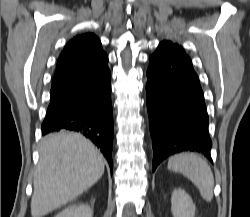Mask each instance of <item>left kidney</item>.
<instances>
[{
	"label": "left kidney",
	"mask_w": 250,
	"mask_h": 217,
	"mask_svg": "<svg viewBox=\"0 0 250 217\" xmlns=\"http://www.w3.org/2000/svg\"><path fill=\"white\" fill-rule=\"evenodd\" d=\"M195 204L191 197L181 188L175 189L171 196L173 217H194Z\"/></svg>",
	"instance_id": "1"
}]
</instances>
